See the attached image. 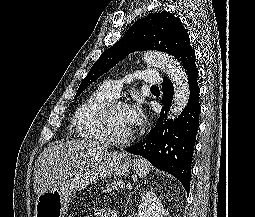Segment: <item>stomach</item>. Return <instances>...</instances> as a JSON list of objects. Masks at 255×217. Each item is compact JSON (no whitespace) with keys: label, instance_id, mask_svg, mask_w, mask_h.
<instances>
[{"label":"stomach","instance_id":"stomach-1","mask_svg":"<svg viewBox=\"0 0 255 217\" xmlns=\"http://www.w3.org/2000/svg\"><path fill=\"white\" fill-rule=\"evenodd\" d=\"M131 166V159L126 153L110 152L95 166L73 175L61 186L38 195L34 217H64L73 192L100 179L123 176L130 171Z\"/></svg>","mask_w":255,"mask_h":217}]
</instances>
